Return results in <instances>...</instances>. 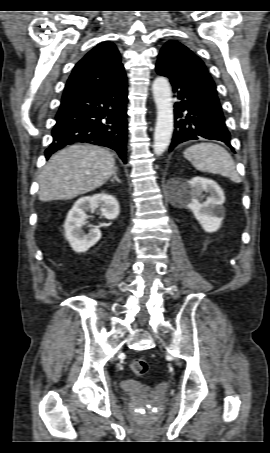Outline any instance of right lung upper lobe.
Listing matches in <instances>:
<instances>
[{
	"label": "right lung upper lobe",
	"mask_w": 270,
	"mask_h": 453,
	"mask_svg": "<svg viewBox=\"0 0 270 453\" xmlns=\"http://www.w3.org/2000/svg\"><path fill=\"white\" fill-rule=\"evenodd\" d=\"M125 76L120 54L112 42H103L89 51L73 68L63 96L101 91Z\"/></svg>",
	"instance_id": "obj_1"
}]
</instances>
